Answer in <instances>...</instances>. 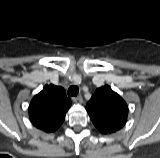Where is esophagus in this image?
<instances>
[{"instance_id": "obj_1", "label": "esophagus", "mask_w": 160, "mask_h": 158, "mask_svg": "<svg viewBox=\"0 0 160 158\" xmlns=\"http://www.w3.org/2000/svg\"><path fill=\"white\" fill-rule=\"evenodd\" d=\"M73 101H74L75 103H82V102H83V98H82L81 95H79V96H77V97H74V98H73Z\"/></svg>"}]
</instances>
